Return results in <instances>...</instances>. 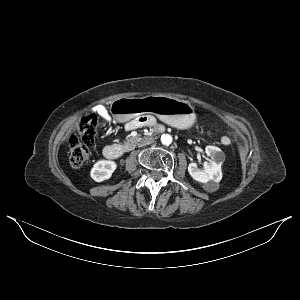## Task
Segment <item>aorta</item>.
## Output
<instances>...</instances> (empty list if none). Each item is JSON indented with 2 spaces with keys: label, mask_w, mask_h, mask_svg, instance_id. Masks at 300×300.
Instances as JSON below:
<instances>
[{
  "label": "aorta",
  "mask_w": 300,
  "mask_h": 300,
  "mask_svg": "<svg viewBox=\"0 0 300 300\" xmlns=\"http://www.w3.org/2000/svg\"><path fill=\"white\" fill-rule=\"evenodd\" d=\"M161 142L163 145H166V146L170 145L172 143V136L169 134H163L161 136Z\"/></svg>",
  "instance_id": "obj_1"
}]
</instances>
